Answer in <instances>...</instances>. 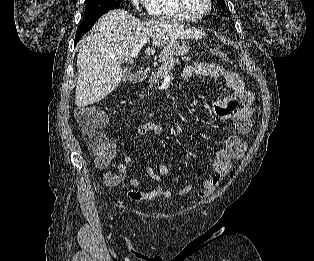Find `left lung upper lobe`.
<instances>
[{"label": "left lung upper lobe", "instance_id": "obj_1", "mask_svg": "<svg viewBox=\"0 0 314 261\" xmlns=\"http://www.w3.org/2000/svg\"><path fill=\"white\" fill-rule=\"evenodd\" d=\"M218 2H219V4H220L222 7L226 6L224 0H218ZM238 38H239V37H238Z\"/></svg>", "mask_w": 314, "mask_h": 261}]
</instances>
